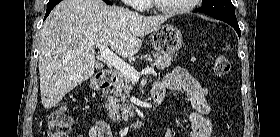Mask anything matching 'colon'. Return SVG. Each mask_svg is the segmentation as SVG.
<instances>
[{"label": "colon", "instance_id": "1", "mask_svg": "<svg viewBox=\"0 0 280 137\" xmlns=\"http://www.w3.org/2000/svg\"><path fill=\"white\" fill-rule=\"evenodd\" d=\"M231 70V64L227 56L219 54L215 57L213 71L217 76H226ZM72 126L71 118L66 114L63 106L55 107L48 116L47 136L68 137ZM103 137H111L107 128H103Z\"/></svg>", "mask_w": 280, "mask_h": 137}]
</instances>
